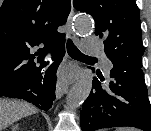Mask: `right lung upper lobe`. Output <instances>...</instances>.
<instances>
[{
  "label": "right lung upper lobe",
  "instance_id": "obj_1",
  "mask_svg": "<svg viewBox=\"0 0 151 131\" xmlns=\"http://www.w3.org/2000/svg\"><path fill=\"white\" fill-rule=\"evenodd\" d=\"M70 0H4L0 9V90L33 75L44 65L45 55L60 43ZM38 62L30 52L36 46ZM37 53V55H38ZM36 55V56H37Z\"/></svg>",
  "mask_w": 151,
  "mask_h": 131
}]
</instances>
